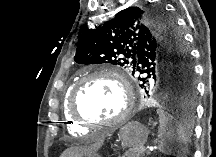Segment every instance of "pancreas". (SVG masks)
<instances>
[{
  "mask_svg": "<svg viewBox=\"0 0 216 157\" xmlns=\"http://www.w3.org/2000/svg\"><path fill=\"white\" fill-rule=\"evenodd\" d=\"M144 152H146V154L150 153V152H147L144 148L139 147V148L133 149L131 153L127 154V156L128 157H144Z\"/></svg>",
  "mask_w": 216,
  "mask_h": 157,
  "instance_id": "cf45deb5",
  "label": "pancreas"
}]
</instances>
